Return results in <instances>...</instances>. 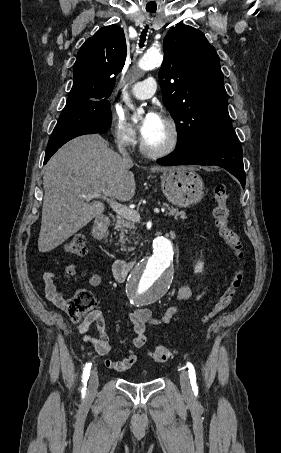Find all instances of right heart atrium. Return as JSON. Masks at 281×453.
<instances>
[{
	"mask_svg": "<svg viewBox=\"0 0 281 453\" xmlns=\"http://www.w3.org/2000/svg\"><path fill=\"white\" fill-rule=\"evenodd\" d=\"M107 124L120 146L129 148L136 143V127L121 112L111 113L107 118ZM109 169L115 174L127 175L124 162L115 155L110 157Z\"/></svg>",
	"mask_w": 281,
	"mask_h": 453,
	"instance_id": "1",
	"label": "right heart atrium"
}]
</instances>
